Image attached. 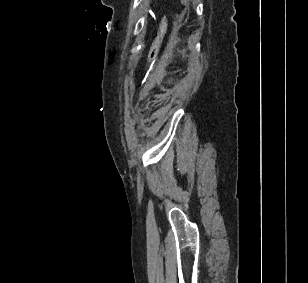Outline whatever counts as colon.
I'll return each mask as SVG.
<instances>
[{"instance_id": "obj_1", "label": "colon", "mask_w": 308, "mask_h": 283, "mask_svg": "<svg viewBox=\"0 0 308 283\" xmlns=\"http://www.w3.org/2000/svg\"><path fill=\"white\" fill-rule=\"evenodd\" d=\"M167 25H168V20H167V17L164 16L159 23L156 36L153 39L149 52H148V56H147L148 67L152 66L156 60V57L160 50L162 41L167 31Z\"/></svg>"}]
</instances>
